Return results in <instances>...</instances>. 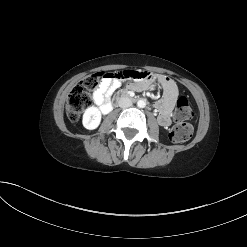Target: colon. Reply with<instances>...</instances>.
<instances>
[{"label":"colon","instance_id":"1","mask_svg":"<svg viewBox=\"0 0 247 247\" xmlns=\"http://www.w3.org/2000/svg\"><path fill=\"white\" fill-rule=\"evenodd\" d=\"M109 75L103 72L94 73L86 77L72 89L66 106L67 116L71 121L75 122L80 118L83 110L92 102L91 91L96 90L101 81ZM192 115L193 111L186 97H179L174 111L176 124L170 132V139L173 142L182 143L191 137L193 128L187 120Z\"/></svg>","mask_w":247,"mask_h":247}]
</instances>
